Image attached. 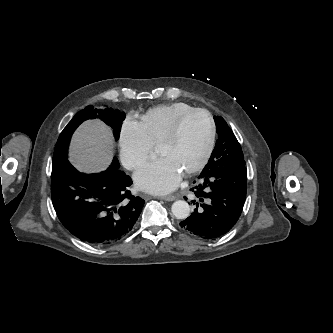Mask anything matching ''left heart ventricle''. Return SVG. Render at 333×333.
Masks as SVG:
<instances>
[{"mask_svg":"<svg viewBox=\"0 0 333 333\" xmlns=\"http://www.w3.org/2000/svg\"><path fill=\"white\" fill-rule=\"evenodd\" d=\"M208 138V118L197 113L185 120L176 140L158 148V154L170 159L184 173L200 160Z\"/></svg>","mask_w":333,"mask_h":333,"instance_id":"obj_1","label":"left heart ventricle"}]
</instances>
